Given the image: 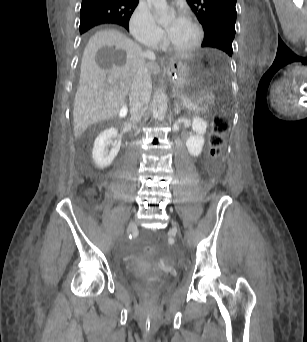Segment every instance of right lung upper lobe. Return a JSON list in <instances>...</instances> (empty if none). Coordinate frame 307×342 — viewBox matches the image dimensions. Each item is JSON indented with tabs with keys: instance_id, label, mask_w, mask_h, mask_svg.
I'll return each instance as SVG.
<instances>
[{
	"instance_id": "1",
	"label": "right lung upper lobe",
	"mask_w": 307,
	"mask_h": 342,
	"mask_svg": "<svg viewBox=\"0 0 307 342\" xmlns=\"http://www.w3.org/2000/svg\"><path fill=\"white\" fill-rule=\"evenodd\" d=\"M139 0H82L81 11H108L117 15V20L111 24H118L129 29V19Z\"/></svg>"
}]
</instances>
